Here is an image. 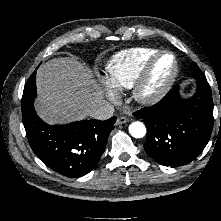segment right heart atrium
Here are the masks:
<instances>
[{"instance_id": "obj_1", "label": "right heart atrium", "mask_w": 221, "mask_h": 221, "mask_svg": "<svg viewBox=\"0 0 221 221\" xmlns=\"http://www.w3.org/2000/svg\"><path fill=\"white\" fill-rule=\"evenodd\" d=\"M105 85H106V90H107L108 96L111 99L115 100L117 97V93L115 91V88L109 82H105Z\"/></svg>"}]
</instances>
